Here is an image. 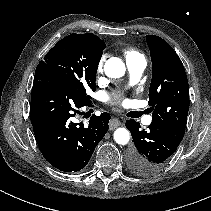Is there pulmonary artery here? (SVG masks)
<instances>
[{
    "label": "pulmonary artery",
    "instance_id": "e3ab8cb5",
    "mask_svg": "<svg viewBox=\"0 0 211 211\" xmlns=\"http://www.w3.org/2000/svg\"><path fill=\"white\" fill-rule=\"evenodd\" d=\"M126 65L128 71L131 76V80L134 82L140 78L142 75L145 67H146V60L143 56H136L126 60ZM145 125H149L151 123V117L148 116L144 120Z\"/></svg>",
    "mask_w": 211,
    "mask_h": 211
}]
</instances>
